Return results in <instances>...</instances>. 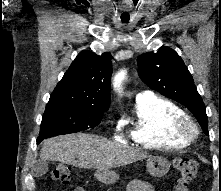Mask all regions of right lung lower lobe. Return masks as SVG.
<instances>
[{"label":"right lung lower lobe","mask_w":221,"mask_h":191,"mask_svg":"<svg viewBox=\"0 0 221 191\" xmlns=\"http://www.w3.org/2000/svg\"><path fill=\"white\" fill-rule=\"evenodd\" d=\"M41 141H39L38 139H37V144H39Z\"/></svg>","instance_id":"1"}]
</instances>
